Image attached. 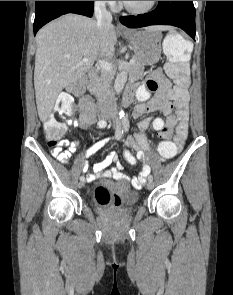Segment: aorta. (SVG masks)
<instances>
[{"mask_svg": "<svg viewBox=\"0 0 233 295\" xmlns=\"http://www.w3.org/2000/svg\"><path fill=\"white\" fill-rule=\"evenodd\" d=\"M127 76H128V73L126 70L121 71L117 75L116 80H115V89H116L117 93H120L123 90L124 85L127 81ZM121 113L122 112H120V114Z\"/></svg>", "mask_w": 233, "mask_h": 295, "instance_id": "762f6f07", "label": "aorta"}]
</instances>
